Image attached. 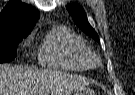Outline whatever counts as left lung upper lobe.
Wrapping results in <instances>:
<instances>
[{
    "instance_id": "obj_1",
    "label": "left lung upper lobe",
    "mask_w": 135,
    "mask_h": 95,
    "mask_svg": "<svg viewBox=\"0 0 135 95\" xmlns=\"http://www.w3.org/2000/svg\"><path fill=\"white\" fill-rule=\"evenodd\" d=\"M66 8L69 11L70 15L72 16L76 25L87 35L92 37L94 40L100 42L97 33L89 24L83 8L77 4H69L66 6Z\"/></svg>"
}]
</instances>
